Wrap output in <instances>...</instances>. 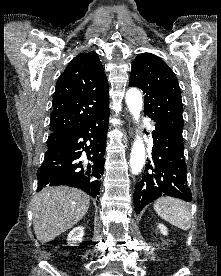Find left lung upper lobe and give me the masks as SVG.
I'll return each instance as SVG.
<instances>
[{"mask_svg":"<svg viewBox=\"0 0 221 276\" xmlns=\"http://www.w3.org/2000/svg\"><path fill=\"white\" fill-rule=\"evenodd\" d=\"M129 85L140 88L145 94L144 112L156 122L155 126L182 138L181 91L168 65L154 54H139L131 68Z\"/></svg>","mask_w":221,"mask_h":276,"instance_id":"obj_1","label":"left lung upper lobe"}]
</instances>
